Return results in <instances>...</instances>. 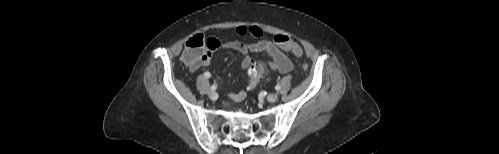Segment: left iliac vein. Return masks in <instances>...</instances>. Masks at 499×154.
I'll return each mask as SVG.
<instances>
[{"mask_svg": "<svg viewBox=\"0 0 499 154\" xmlns=\"http://www.w3.org/2000/svg\"><path fill=\"white\" fill-rule=\"evenodd\" d=\"M278 99V94L277 93H271L267 96V101L268 102H275Z\"/></svg>", "mask_w": 499, "mask_h": 154, "instance_id": "obj_1", "label": "left iliac vein"}]
</instances>
